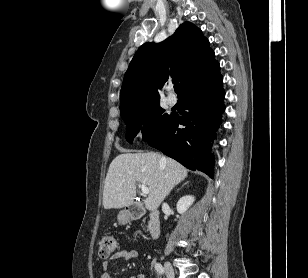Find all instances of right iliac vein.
I'll use <instances>...</instances> for the list:
<instances>
[{
  "mask_svg": "<svg viewBox=\"0 0 308 278\" xmlns=\"http://www.w3.org/2000/svg\"><path fill=\"white\" fill-rule=\"evenodd\" d=\"M167 278H175V272L170 262L166 261L164 265Z\"/></svg>",
  "mask_w": 308,
  "mask_h": 278,
  "instance_id": "63e3f726",
  "label": "right iliac vein"
}]
</instances>
